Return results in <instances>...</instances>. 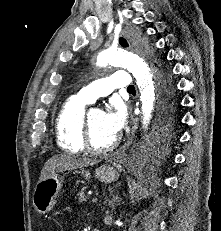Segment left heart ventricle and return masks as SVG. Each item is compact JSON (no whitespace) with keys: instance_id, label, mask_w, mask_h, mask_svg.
<instances>
[{"instance_id":"left-heart-ventricle-1","label":"left heart ventricle","mask_w":221,"mask_h":231,"mask_svg":"<svg viewBox=\"0 0 221 231\" xmlns=\"http://www.w3.org/2000/svg\"><path fill=\"white\" fill-rule=\"evenodd\" d=\"M90 127L92 141L97 147H106L117 137L107 129L104 113L100 110L90 112Z\"/></svg>"}]
</instances>
